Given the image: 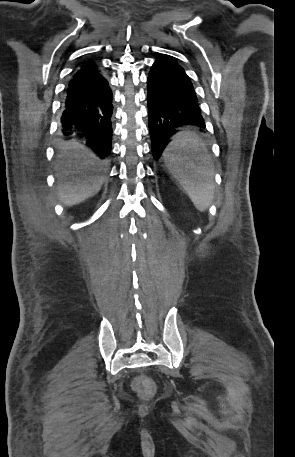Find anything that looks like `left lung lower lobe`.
Here are the masks:
<instances>
[{
    "instance_id": "left-lung-lower-lobe-1",
    "label": "left lung lower lobe",
    "mask_w": 295,
    "mask_h": 457,
    "mask_svg": "<svg viewBox=\"0 0 295 457\" xmlns=\"http://www.w3.org/2000/svg\"><path fill=\"white\" fill-rule=\"evenodd\" d=\"M147 90L152 153L159 159L180 131L177 127L193 124L204 128L205 122L190 78L169 56H160L151 66Z\"/></svg>"
}]
</instances>
